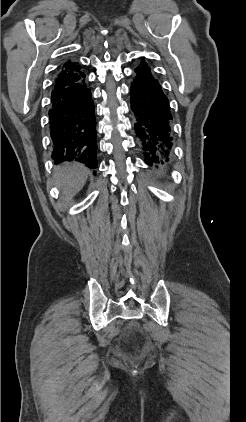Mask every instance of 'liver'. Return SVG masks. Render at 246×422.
<instances>
[{"label": "liver", "instance_id": "1", "mask_svg": "<svg viewBox=\"0 0 246 422\" xmlns=\"http://www.w3.org/2000/svg\"><path fill=\"white\" fill-rule=\"evenodd\" d=\"M89 170L80 163H66L54 169L53 177L61 190V198L68 201L85 185Z\"/></svg>", "mask_w": 246, "mask_h": 422}]
</instances>
